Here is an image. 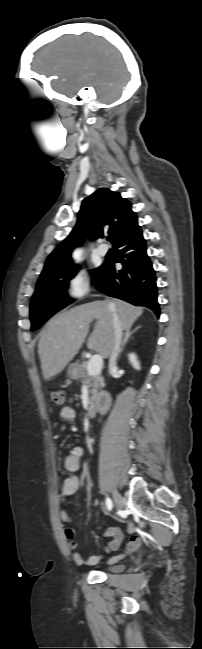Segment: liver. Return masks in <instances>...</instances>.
Returning <instances> with one entry per match:
<instances>
[{"label":"liver","mask_w":202,"mask_h":649,"mask_svg":"<svg viewBox=\"0 0 202 649\" xmlns=\"http://www.w3.org/2000/svg\"><path fill=\"white\" fill-rule=\"evenodd\" d=\"M115 313L123 330L130 328L143 313L141 307L122 300L95 301L75 306L52 317L40 333L38 354L45 380L59 374L79 352L96 319L87 347L102 358L110 356L114 341L112 314Z\"/></svg>","instance_id":"obj_1"}]
</instances>
